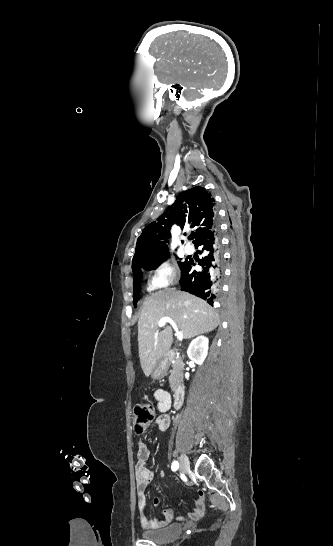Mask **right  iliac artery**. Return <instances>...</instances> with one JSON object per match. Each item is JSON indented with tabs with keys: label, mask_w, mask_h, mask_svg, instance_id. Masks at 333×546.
<instances>
[{
	"label": "right iliac artery",
	"mask_w": 333,
	"mask_h": 546,
	"mask_svg": "<svg viewBox=\"0 0 333 546\" xmlns=\"http://www.w3.org/2000/svg\"><path fill=\"white\" fill-rule=\"evenodd\" d=\"M178 468H179V463L177 461H174L171 466L172 471L175 472Z\"/></svg>",
	"instance_id": "82829eb1"
}]
</instances>
